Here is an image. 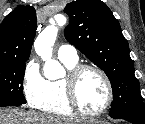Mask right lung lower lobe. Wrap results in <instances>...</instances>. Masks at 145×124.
I'll use <instances>...</instances> for the list:
<instances>
[{"label": "right lung lower lobe", "mask_w": 145, "mask_h": 124, "mask_svg": "<svg viewBox=\"0 0 145 124\" xmlns=\"http://www.w3.org/2000/svg\"><path fill=\"white\" fill-rule=\"evenodd\" d=\"M22 104H18V103H9V104H0V107H6V106H20Z\"/></svg>", "instance_id": "right-lung-lower-lobe-1"}]
</instances>
